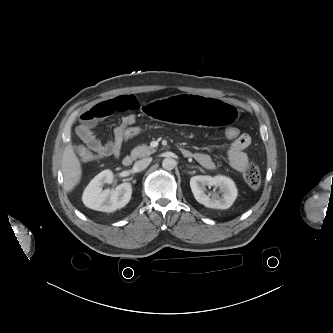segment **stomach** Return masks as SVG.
Here are the masks:
<instances>
[{
    "label": "stomach",
    "mask_w": 333,
    "mask_h": 333,
    "mask_svg": "<svg viewBox=\"0 0 333 333\" xmlns=\"http://www.w3.org/2000/svg\"><path fill=\"white\" fill-rule=\"evenodd\" d=\"M142 112L148 120L162 124L204 126L213 130L237 124L243 117L240 108L203 94L151 98L143 104Z\"/></svg>",
    "instance_id": "1"
}]
</instances>
